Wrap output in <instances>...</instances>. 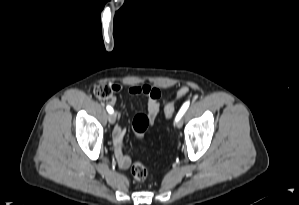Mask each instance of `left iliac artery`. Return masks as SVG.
<instances>
[{"label":"left iliac artery","instance_id":"44dca946","mask_svg":"<svg viewBox=\"0 0 299 205\" xmlns=\"http://www.w3.org/2000/svg\"><path fill=\"white\" fill-rule=\"evenodd\" d=\"M189 105H190V102H189V101H186V102L182 105L181 109L179 110V112H178V114H177V116H176V118H175V121H178L179 119H181V117L183 116V114H184V113L186 112V110L188 109Z\"/></svg>","mask_w":299,"mask_h":205}]
</instances>
